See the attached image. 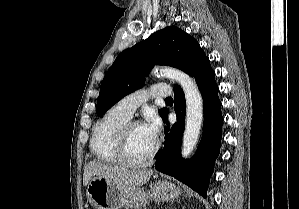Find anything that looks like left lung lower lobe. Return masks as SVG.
<instances>
[{"instance_id":"left-lung-lower-lobe-1","label":"left lung lower lobe","mask_w":299,"mask_h":209,"mask_svg":"<svg viewBox=\"0 0 299 209\" xmlns=\"http://www.w3.org/2000/svg\"><path fill=\"white\" fill-rule=\"evenodd\" d=\"M193 77L201 91L204 106L203 135L197 152L191 160L184 161L180 156L186 102L183 90L176 85L174 96L177 122L170 128L167 111L163 117L167 123L165 148L157 154V163L153 168L175 177L206 197L209 178L213 173L214 163L220 150L223 117L215 72L210 66L209 59L201 65Z\"/></svg>"}]
</instances>
